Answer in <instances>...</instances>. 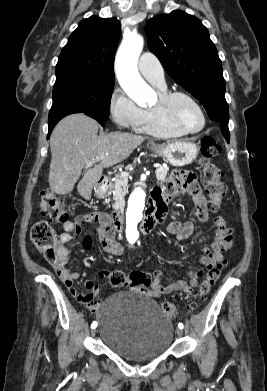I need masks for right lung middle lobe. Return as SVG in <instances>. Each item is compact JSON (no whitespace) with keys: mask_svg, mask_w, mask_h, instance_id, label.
<instances>
[{"mask_svg":"<svg viewBox=\"0 0 267 391\" xmlns=\"http://www.w3.org/2000/svg\"><path fill=\"white\" fill-rule=\"evenodd\" d=\"M115 76L68 73L56 77L49 119L69 110L94 113L109 118Z\"/></svg>","mask_w":267,"mask_h":391,"instance_id":"1","label":"right lung middle lobe"}]
</instances>
